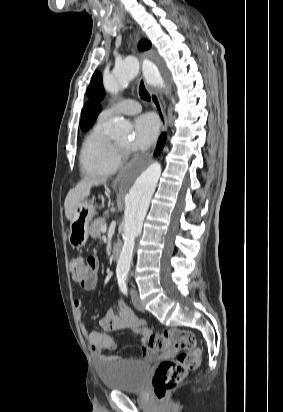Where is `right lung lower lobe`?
I'll return each mask as SVG.
<instances>
[{
	"label": "right lung lower lobe",
	"mask_w": 283,
	"mask_h": 412,
	"mask_svg": "<svg viewBox=\"0 0 283 412\" xmlns=\"http://www.w3.org/2000/svg\"><path fill=\"white\" fill-rule=\"evenodd\" d=\"M165 141H166V133H163L158 141V145H157L154 155H158L162 151Z\"/></svg>",
	"instance_id": "right-lung-lower-lobe-1"
}]
</instances>
